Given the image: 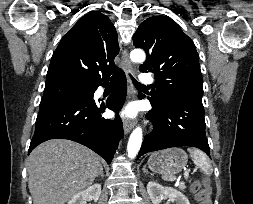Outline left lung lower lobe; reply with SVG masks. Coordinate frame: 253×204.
I'll return each instance as SVG.
<instances>
[{"label":"left lung lower lobe","mask_w":253,"mask_h":204,"mask_svg":"<svg viewBox=\"0 0 253 204\" xmlns=\"http://www.w3.org/2000/svg\"><path fill=\"white\" fill-rule=\"evenodd\" d=\"M150 102L152 110L147 118L154 129L145 137L138 158L148 152L178 146L197 147L210 156L202 99L169 101L163 105Z\"/></svg>","instance_id":"0a47b994"}]
</instances>
